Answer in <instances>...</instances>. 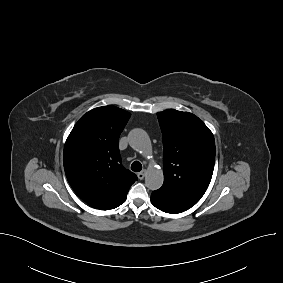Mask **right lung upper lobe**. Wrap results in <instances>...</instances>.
Returning a JSON list of instances; mask_svg holds the SVG:
<instances>
[{"label":"right lung upper lobe","instance_id":"obj_1","mask_svg":"<svg viewBox=\"0 0 283 283\" xmlns=\"http://www.w3.org/2000/svg\"><path fill=\"white\" fill-rule=\"evenodd\" d=\"M131 114L112 105L90 110L69 134L64 170L75 193L90 206L110 210L121 205L137 176L121 164L119 136Z\"/></svg>","mask_w":283,"mask_h":283}]
</instances>
